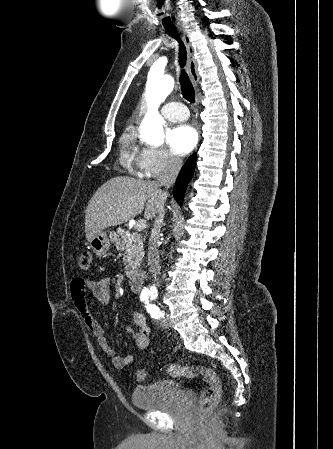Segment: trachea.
Segmentation results:
<instances>
[{"label":"trachea","mask_w":333,"mask_h":449,"mask_svg":"<svg viewBox=\"0 0 333 449\" xmlns=\"http://www.w3.org/2000/svg\"><path fill=\"white\" fill-rule=\"evenodd\" d=\"M166 32L168 33L169 36H171L173 39H175L178 42L179 45V65L181 68L180 71V77H179V82L181 85V91H182V95L183 97L188 100L189 102H195V91H194V87L191 83V80L188 76V74L186 73L184 66L186 65V60H187V51H186V46L183 43L182 39L180 38L177 30L175 27H165Z\"/></svg>","instance_id":"3493384b"}]
</instances>
